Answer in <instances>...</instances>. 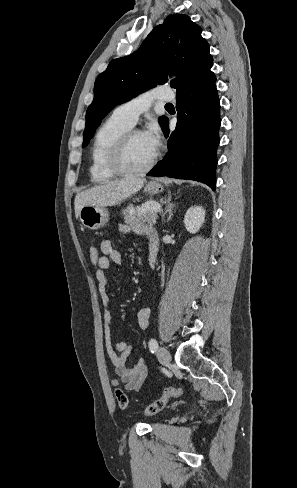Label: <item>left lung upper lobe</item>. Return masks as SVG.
Segmentation results:
<instances>
[{"label": "left lung upper lobe", "instance_id": "1", "mask_svg": "<svg viewBox=\"0 0 297 488\" xmlns=\"http://www.w3.org/2000/svg\"><path fill=\"white\" fill-rule=\"evenodd\" d=\"M201 32L187 15H172L152 30L137 51L112 60L95 81L94 100L86 112L83 147L116 105L165 83L167 74L178 76L170 85L179 94L211 73L213 58ZM166 119L160 117L162 127Z\"/></svg>", "mask_w": 297, "mask_h": 488}]
</instances>
